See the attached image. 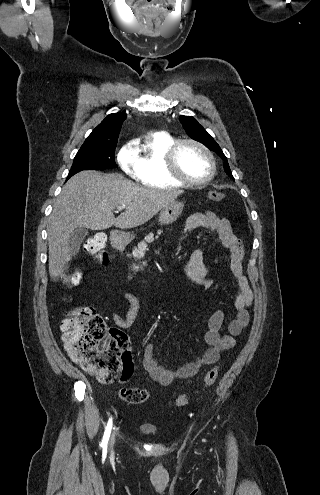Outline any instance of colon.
I'll use <instances>...</instances> for the list:
<instances>
[{"mask_svg": "<svg viewBox=\"0 0 320 495\" xmlns=\"http://www.w3.org/2000/svg\"><path fill=\"white\" fill-rule=\"evenodd\" d=\"M210 199L220 202L223 194L218 191L210 193ZM84 251L94 260L106 263L108 254L105 250V236L97 233L84 243ZM78 275L65 277V284L76 285ZM62 340L71 359L95 375L102 383H112L121 368L132 366L128 341L122 332L109 329L104 319L93 308H78L70 312L61 324ZM218 377V367L211 368L204 376L201 389L211 387ZM123 381V377H121ZM120 398L130 404H139L149 398V392L139 388H121ZM189 402V395H179L175 406L184 407Z\"/></svg>", "mask_w": 320, "mask_h": 495, "instance_id": "5ec220e1", "label": "colon"}]
</instances>
